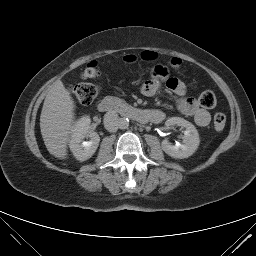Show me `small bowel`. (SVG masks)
I'll list each match as a JSON object with an SVG mask.
<instances>
[{"label": "small bowel", "instance_id": "small-bowel-1", "mask_svg": "<svg viewBox=\"0 0 256 256\" xmlns=\"http://www.w3.org/2000/svg\"><path fill=\"white\" fill-rule=\"evenodd\" d=\"M162 83L165 84L168 90L180 96L177 101V109L179 112L186 116L193 117L198 126L205 127L209 125L211 121L210 113L203 109L195 98L185 96V85L178 79L170 77L164 66H157L154 69L151 78L143 83L141 92L145 96H154L159 91ZM159 113L162 115L161 112Z\"/></svg>", "mask_w": 256, "mask_h": 256}]
</instances>
